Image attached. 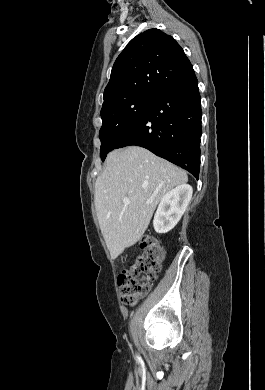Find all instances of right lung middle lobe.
<instances>
[{
  "mask_svg": "<svg viewBox=\"0 0 265 390\" xmlns=\"http://www.w3.org/2000/svg\"><path fill=\"white\" fill-rule=\"evenodd\" d=\"M155 96L136 94L101 109L102 127L99 137L102 161L111 150L115 149L122 136L145 112Z\"/></svg>",
  "mask_w": 265,
  "mask_h": 390,
  "instance_id": "right-lung-middle-lobe-1",
  "label": "right lung middle lobe"
}]
</instances>
